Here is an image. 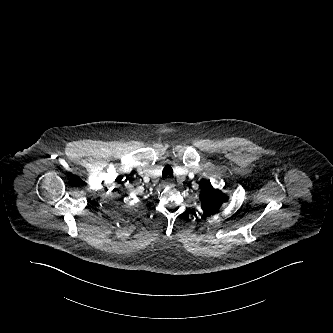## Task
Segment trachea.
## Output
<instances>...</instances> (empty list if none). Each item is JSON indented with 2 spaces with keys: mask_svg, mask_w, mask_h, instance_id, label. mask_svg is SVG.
<instances>
[{
  "mask_svg": "<svg viewBox=\"0 0 333 333\" xmlns=\"http://www.w3.org/2000/svg\"><path fill=\"white\" fill-rule=\"evenodd\" d=\"M162 177L170 178L173 177V169L170 165H166L162 171Z\"/></svg>",
  "mask_w": 333,
  "mask_h": 333,
  "instance_id": "1",
  "label": "trachea"
}]
</instances>
